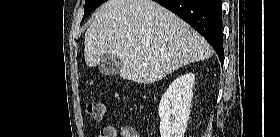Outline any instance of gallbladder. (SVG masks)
I'll list each match as a JSON object with an SVG mask.
<instances>
[{
	"label": "gallbladder",
	"mask_w": 280,
	"mask_h": 137,
	"mask_svg": "<svg viewBox=\"0 0 280 137\" xmlns=\"http://www.w3.org/2000/svg\"><path fill=\"white\" fill-rule=\"evenodd\" d=\"M123 61L113 54H104L98 65L100 73L106 76H113L120 72Z\"/></svg>",
	"instance_id": "bac80fb5"
}]
</instances>
